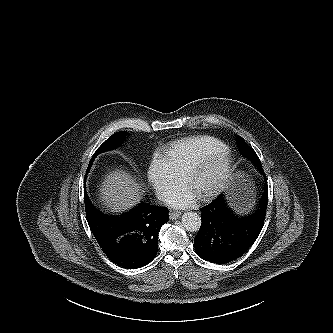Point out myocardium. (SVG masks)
I'll return each mask as SVG.
<instances>
[{"mask_svg": "<svg viewBox=\"0 0 333 333\" xmlns=\"http://www.w3.org/2000/svg\"><path fill=\"white\" fill-rule=\"evenodd\" d=\"M214 164L220 165V176L210 189L198 195L202 200H209L219 195L229 184L234 171V161L230 149L226 146L207 154L196 161L183 176L184 184L189 186L196 176Z\"/></svg>", "mask_w": 333, "mask_h": 333, "instance_id": "1", "label": "myocardium"}]
</instances>
